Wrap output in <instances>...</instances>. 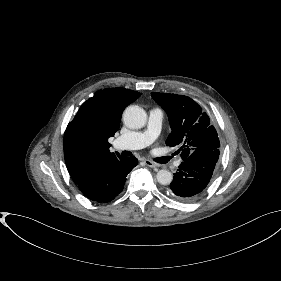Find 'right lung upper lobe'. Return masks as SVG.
Segmentation results:
<instances>
[{
  "label": "right lung upper lobe",
  "mask_w": 281,
  "mask_h": 281,
  "mask_svg": "<svg viewBox=\"0 0 281 281\" xmlns=\"http://www.w3.org/2000/svg\"><path fill=\"white\" fill-rule=\"evenodd\" d=\"M125 88L99 90L82 104L64 133V157L75 183L85 180L104 160L119 155L109 151L123 110L140 97Z\"/></svg>",
  "instance_id": "1"
}]
</instances>
